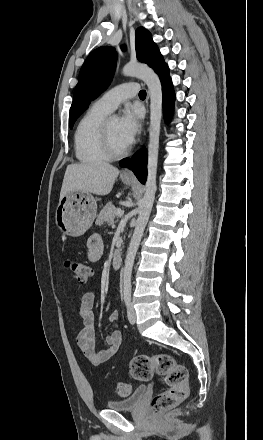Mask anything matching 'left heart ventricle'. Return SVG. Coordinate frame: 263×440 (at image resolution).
<instances>
[{"label": "left heart ventricle", "instance_id": "b2bd125f", "mask_svg": "<svg viewBox=\"0 0 263 440\" xmlns=\"http://www.w3.org/2000/svg\"><path fill=\"white\" fill-rule=\"evenodd\" d=\"M109 136L115 150L119 151L127 147L119 131V120L115 117H111L109 120Z\"/></svg>", "mask_w": 263, "mask_h": 440}]
</instances>
